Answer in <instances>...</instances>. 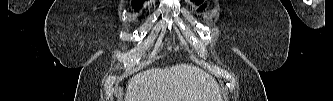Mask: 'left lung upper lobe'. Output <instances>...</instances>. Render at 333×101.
<instances>
[{"instance_id": "left-lung-upper-lobe-1", "label": "left lung upper lobe", "mask_w": 333, "mask_h": 101, "mask_svg": "<svg viewBox=\"0 0 333 101\" xmlns=\"http://www.w3.org/2000/svg\"><path fill=\"white\" fill-rule=\"evenodd\" d=\"M194 1V0H193ZM196 2L198 3V4H200L201 2H202V0H196ZM204 6H202L201 8H203Z\"/></svg>"}]
</instances>
